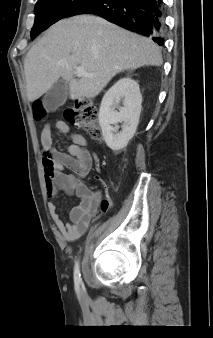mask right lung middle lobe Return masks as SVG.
<instances>
[{
    "label": "right lung middle lobe",
    "mask_w": 213,
    "mask_h": 338,
    "mask_svg": "<svg viewBox=\"0 0 213 338\" xmlns=\"http://www.w3.org/2000/svg\"><path fill=\"white\" fill-rule=\"evenodd\" d=\"M90 1L92 0H38L31 39L60 19L72 15L75 10Z\"/></svg>",
    "instance_id": "obj_1"
}]
</instances>
